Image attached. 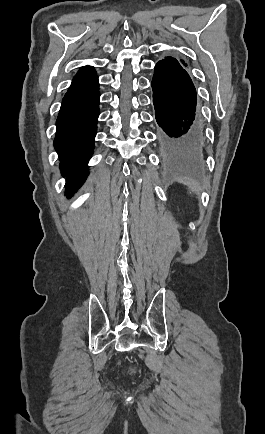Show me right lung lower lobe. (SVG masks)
Listing matches in <instances>:
<instances>
[{
	"label": "right lung lower lobe",
	"instance_id": "obj_1",
	"mask_svg": "<svg viewBox=\"0 0 265 434\" xmlns=\"http://www.w3.org/2000/svg\"><path fill=\"white\" fill-rule=\"evenodd\" d=\"M99 83L93 67L80 68L65 94L56 121L55 149L70 195L86 179L99 116Z\"/></svg>",
	"mask_w": 265,
	"mask_h": 434
}]
</instances>
